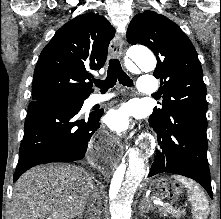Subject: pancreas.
Segmentation results:
<instances>
[{
  "mask_svg": "<svg viewBox=\"0 0 221 219\" xmlns=\"http://www.w3.org/2000/svg\"><path fill=\"white\" fill-rule=\"evenodd\" d=\"M159 212L163 216L172 215L173 217L178 218V219L185 215L184 210L176 209V208H173L172 206H162L159 208Z\"/></svg>",
  "mask_w": 221,
  "mask_h": 219,
  "instance_id": "cf45deb5",
  "label": "pancreas"
}]
</instances>
